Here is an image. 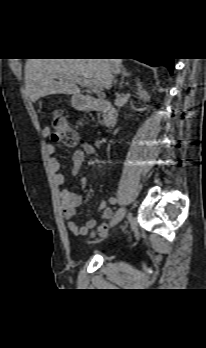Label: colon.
Masks as SVG:
<instances>
[{
	"mask_svg": "<svg viewBox=\"0 0 206 348\" xmlns=\"http://www.w3.org/2000/svg\"><path fill=\"white\" fill-rule=\"evenodd\" d=\"M50 138L55 142H63L68 145H74L77 142V133L70 127L66 119L59 112H54L51 117ZM105 224L99 226L98 230L103 232Z\"/></svg>",
	"mask_w": 206,
	"mask_h": 348,
	"instance_id": "obj_1",
	"label": "colon"
}]
</instances>
